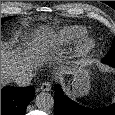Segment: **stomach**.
<instances>
[{"label": "stomach", "instance_id": "0dacf381", "mask_svg": "<svg viewBox=\"0 0 115 115\" xmlns=\"http://www.w3.org/2000/svg\"><path fill=\"white\" fill-rule=\"evenodd\" d=\"M90 91V72L81 67L73 74L72 94L75 97H83Z\"/></svg>", "mask_w": 115, "mask_h": 115}]
</instances>
